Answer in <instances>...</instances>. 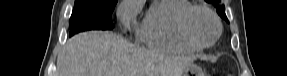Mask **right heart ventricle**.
I'll use <instances>...</instances> for the list:
<instances>
[{"label": "right heart ventricle", "instance_id": "right-heart-ventricle-1", "mask_svg": "<svg viewBox=\"0 0 287 76\" xmlns=\"http://www.w3.org/2000/svg\"><path fill=\"white\" fill-rule=\"evenodd\" d=\"M190 5L188 0H160L153 3L137 30L139 42L150 49L165 52L196 51L183 39L178 26L181 13Z\"/></svg>", "mask_w": 287, "mask_h": 76}]
</instances>
